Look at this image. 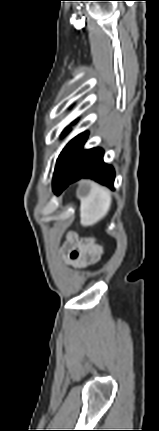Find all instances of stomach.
Segmentation results:
<instances>
[{"label": "stomach", "mask_w": 159, "mask_h": 431, "mask_svg": "<svg viewBox=\"0 0 159 431\" xmlns=\"http://www.w3.org/2000/svg\"><path fill=\"white\" fill-rule=\"evenodd\" d=\"M92 187L93 186L91 184L84 182L79 186L77 194L80 196V198H85L90 194Z\"/></svg>", "instance_id": "0dacf381"}]
</instances>
